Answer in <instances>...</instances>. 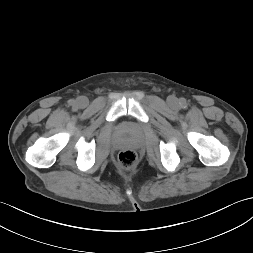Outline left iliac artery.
Returning a JSON list of instances; mask_svg holds the SVG:
<instances>
[{"mask_svg":"<svg viewBox=\"0 0 253 253\" xmlns=\"http://www.w3.org/2000/svg\"><path fill=\"white\" fill-rule=\"evenodd\" d=\"M180 105H181L182 107H186V101H185L184 99H182V100L180 101Z\"/></svg>","mask_w":253,"mask_h":253,"instance_id":"left-iliac-artery-1","label":"left iliac artery"}]
</instances>
